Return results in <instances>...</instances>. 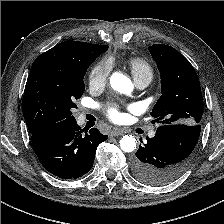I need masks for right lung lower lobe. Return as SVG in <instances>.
I'll return each mask as SVG.
<instances>
[{"label": "right lung lower lobe", "mask_w": 224, "mask_h": 224, "mask_svg": "<svg viewBox=\"0 0 224 224\" xmlns=\"http://www.w3.org/2000/svg\"><path fill=\"white\" fill-rule=\"evenodd\" d=\"M82 132L76 120L61 121L31 132L34 151L48 172L62 179H75L92 168L96 149L108 136L97 128L85 135Z\"/></svg>", "instance_id": "1"}]
</instances>
